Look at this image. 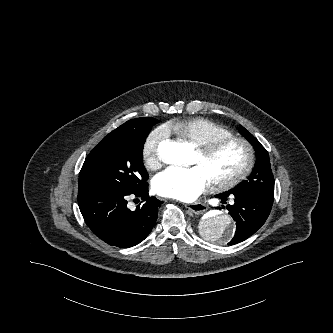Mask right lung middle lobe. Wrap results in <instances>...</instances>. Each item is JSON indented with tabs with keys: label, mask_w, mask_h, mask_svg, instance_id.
Returning a JSON list of instances; mask_svg holds the SVG:
<instances>
[{
	"label": "right lung middle lobe",
	"mask_w": 333,
	"mask_h": 333,
	"mask_svg": "<svg viewBox=\"0 0 333 333\" xmlns=\"http://www.w3.org/2000/svg\"><path fill=\"white\" fill-rule=\"evenodd\" d=\"M157 119L146 117L135 127L114 130L86 157L79 173L78 193L94 189L137 190L148 179L142 151Z\"/></svg>",
	"instance_id": "obj_1"
}]
</instances>
